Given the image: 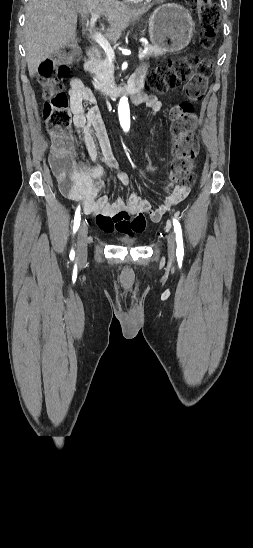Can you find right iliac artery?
Here are the masks:
<instances>
[{
  "instance_id": "right-iliac-artery-1",
  "label": "right iliac artery",
  "mask_w": 253,
  "mask_h": 548,
  "mask_svg": "<svg viewBox=\"0 0 253 548\" xmlns=\"http://www.w3.org/2000/svg\"><path fill=\"white\" fill-rule=\"evenodd\" d=\"M80 219H81V215H80V206H78L77 209H76V212H75V217H74V225H73V232H74V233H76V231H77L78 228H79ZM74 257H75V252H74V250H71V252H70V258L73 259Z\"/></svg>"
}]
</instances>
